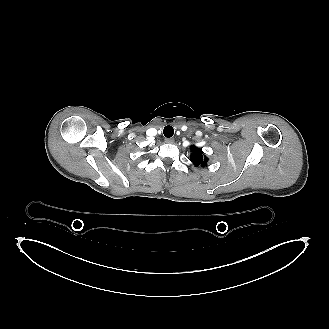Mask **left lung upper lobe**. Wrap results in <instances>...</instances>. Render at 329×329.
<instances>
[{
	"mask_svg": "<svg viewBox=\"0 0 329 329\" xmlns=\"http://www.w3.org/2000/svg\"><path fill=\"white\" fill-rule=\"evenodd\" d=\"M192 154L190 155L191 161H193L195 166H206L208 158L205 157L203 151L195 146H191Z\"/></svg>",
	"mask_w": 329,
	"mask_h": 329,
	"instance_id": "5c2ea615",
	"label": "left lung upper lobe"
}]
</instances>
